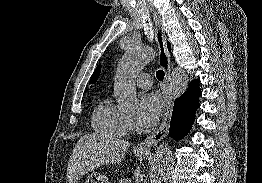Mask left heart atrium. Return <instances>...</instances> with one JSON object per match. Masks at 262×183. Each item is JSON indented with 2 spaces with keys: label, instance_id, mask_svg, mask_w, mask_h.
<instances>
[{
  "label": "left heart atrium",
  "instance_id": "39dd6f15",
  "mask_svg": "<svg viewBox=\"0 0 262 183\" xmlns=\"http://www.w3.org/2000/svg\"><path fill=\"white\" fill-rule=\"evenodd\" d=\"M139 105V124L147 128L154 126L158 122L162 110L159 96L155 93L144 94L140 97Z\"/></svg>",
  "mask_w": 262,
  "mask_h": 183
}]
</instances>
